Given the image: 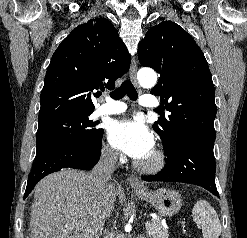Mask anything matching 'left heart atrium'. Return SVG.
I'll return each mask as SVG.
<instances>
[{"mask_svg":"<svg viewBox=\"0 0 247 238\" xmlns=\"http://www.w3.org/2000/svg\"><path fill=\"white\" fill-rule=\"evenodd\" d=\"M112 146L135 159H144L153 150L154 137L138 119H122L113 122L108 130Z\"/></svg>","mask_w":247,"mask_h":238,"instance_id":"39dd6f15","label":"left heart atrium"}]
</instances>
